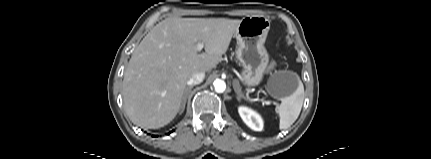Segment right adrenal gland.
<instances>
[{
    "mask_svg": "<svg viewBox=\"0 0 431 159\" xmlns=\"http://www.w3.org/2000/svg\"><path fill=\"white\" fill-rule=\"evenodd\" d=\"M192 88H193V86H190V87L186 88V90L184 92V95H183L181 110H180L179 114L183 113V111L185 109V105H186V100H187L188 92H190Z\"/></svg>",
    "mask_w": 431,
    "mask_h": 159,
    "instance_id": "obj_1",
    "label": "right adrenal gland"
}]
</instances>
